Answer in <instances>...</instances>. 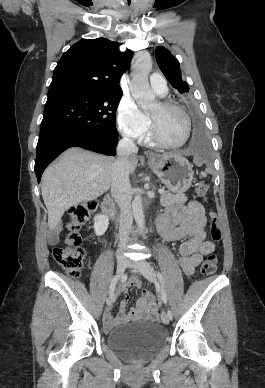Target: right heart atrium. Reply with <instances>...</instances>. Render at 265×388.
<instances>
[{
    "mask_svg": "<svg viewBox=\"0 0 265 388\" xmlns=\"http://www.w3.org/2000/svg\"><path fill=\"white\" fill-rule=\"evenodd\" d=\"M119 121L125 133L135 139H142L151 128L149 116L140 111L132 98L125 97L118 108Z\"/></svg>",
    "mask_w": 265,
    "mask_h": 388,
    "instance_id": "obj_1",
    "label": "right heart atrium"
}]
</instances>
